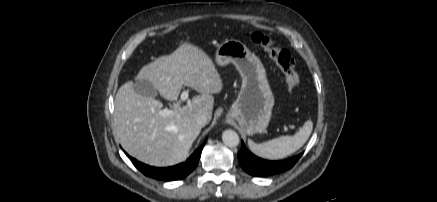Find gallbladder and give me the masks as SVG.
<instances>
[{
	"instance_id": "gallbladder-1",
	"label": "gallbladder",
	"mask_w": 437,
	"mask_h": 202,
	"mask_svg": "<svg viewBox=\"0 0 437 202\" xmlns=\"http://www.w3.org/2000/svg\"><path fill=\"white\" fill-rule=\"evenodd\" d=\"M134 91L142 96L154 97L157 94V90L154 88L149 80H138L133 85Z\"/></svg>"
}]
</instances>
